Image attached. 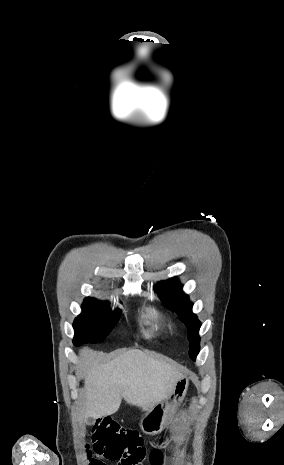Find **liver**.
Returning a JSON list of instances; mask_svg holds the SVG:
<instances>
[{"instance_id":"obj_1","label":"liver","mask_w":284,"mask_h":465,"mask_svg":"<svg viewBox=\"0 0 284 465\" xmlns=\"http://www.w3.org/2000/svg\"><path fill=\"white\" fill-rule=\"evenodd\" d=\"M82 373L85 377L81 421L88 417L101 419L113 415L120 407L122 399L149 411L157 403L167 399L174 387L184 377L182 369L167 361H160L143 351H126L105 365L99 363L95 351L83 349Z\"/></svg>"}]
</instances>
